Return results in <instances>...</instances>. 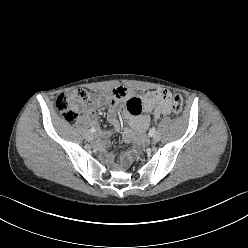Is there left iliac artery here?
Returning a JSON list of instances; mask_svg holds the SVG:
<instances>
[{"label": "left iliac artery", "instance_id": "44dca946", "mask_svg": "<svg viewBox=\"0 0 248 248\" xmlns=\"http://www.w3.org/2000/svg\"><path fill=\"white\" fill-rule=\"evenodd\" d=\"M156 132V128L155 127H152L149 131V136H153Z\"/></svg>", "mask_w": 248, "mask_h": 248}]
</instances>
